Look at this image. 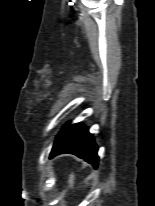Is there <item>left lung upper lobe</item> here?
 Here are the masks:
<instances>
[{
  "label": "left lung upper lobe",
  "mask_w": 155,
  "mask_h": 206,
  "mask_svg": "<svg viewBox=\"0 0 155 206\" xmlns=\"http://www.w3.org/2000/svg\"><path fill=\"white\" fill-rule=\"evenodd\" d=\"M74 125H66L63 127V130L59 133V135L57 136L56 141H58L60 138H62L64 135H66L72 128Z\"/></svg>",
  "instance_id": "1"
}]
</instances>
